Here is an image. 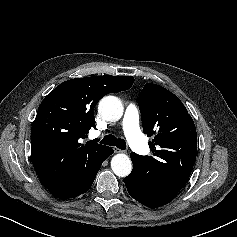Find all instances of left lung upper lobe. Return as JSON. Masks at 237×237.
Wrapping results in <instances>:
<instances>
[{
    "mask_svg": "<svg viewBox=\"0 0 237 237\" xmlns=\"http://www.w3.org/2000/svg\"><path fill=\"white\" fill-rule=\"evenodd\" d=\"M143 131L153 156L131 153L138 179L150 184V196L177 194L188 181L196 160L195 124L181 100L167 89L145 84L139 96Z\"/></svg>",
    "mask_w": 237,
    "mask_h": 237,
    "instance_id": "obj_1",
    "label": "left lung upper lobe"
}]
</instances>
